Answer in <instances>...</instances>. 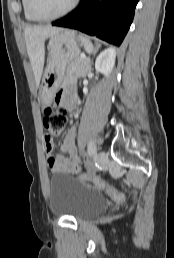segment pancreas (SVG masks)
<instances>
[{
	"mask_svg": "<svg viewBox=\"0 0 174 258\" xmlns=\"http://www.w3.org/2000/svg\"><path fill=\"white\" fill-rule=\"evenodd\" d=\"M90 69V61L87 58L77 57L67 67V78L77 79L84 76Z\"/></svg>",
	"mask_w": 174,
	"mask_h": 258,
	"instance_id": "obj_1",
	"label": "pancreas"
}]
</instances>
